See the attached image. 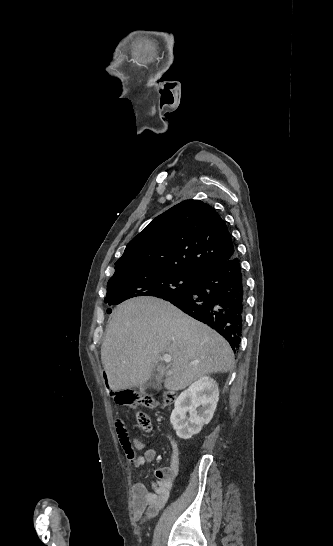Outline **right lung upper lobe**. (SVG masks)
I'll list each match as a JSON object with an SVG mask.
<instances>
[{
	"label": "right lung upper lobe",
	"instance_id": "cb5924a9",
	"mask_svg": "<svg viewBox=\"0 0 333 546\" xmlns=\"http://www.w3.org/2000/svg\"><path fill=\"white\" fill-rule=\"evenodd\" d=\"M236 254L228 227L215 209L200 200H185L135 236L115 270L138 267L199 276Z\"/></svg>",
	"mask_w": 333,
	"mask_h": 546
}]
</instances>
